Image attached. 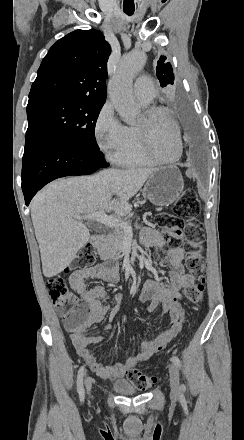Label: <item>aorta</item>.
Segmentation results:
<instances>
[{
	"label": "aorta",
	"mask_w": 244,
	"mask_h": 440,
	"mask_svg": "<svg viewBox=\"0 0 244 440\" xmlns=\"http://www.w3.org/2000/svg\"><path fill=\"white\" fill-rule=\"evenodd\" d=\"M145 60L146 55L141 51H133L123 56L115 75L109 81L110 99L119 116L126 123L133 122L139 112V104L133 95L132 84L134 77L143 68Z\"/></svg>",
	"instance_id": "aorta-1"
}]
</instances>
